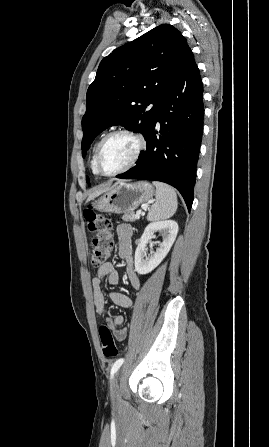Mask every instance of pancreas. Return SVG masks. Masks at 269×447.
Segmentation results:
<instances>
[{
  "mask_svg": "<svg viewBox=\"0 0 269 447\" xmlns=\"http://www.w3.org/2000/svg\"><path fill=\"white\" fill-rule=\"evenodd\" d=\"M122 220H124V222H135L134 212H128V214H124V216H122Z\"/></svg>",
  "mask_w": 269,
  "mask_h": 447,
  "instance_id": "obj_1",
  "label": "pancreas"
}]
</instances>
